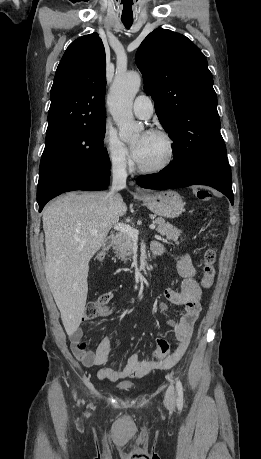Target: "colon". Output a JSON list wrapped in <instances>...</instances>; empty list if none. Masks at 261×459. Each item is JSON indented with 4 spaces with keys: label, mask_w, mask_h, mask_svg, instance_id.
<instances>
[{
    "label": "colon",
    "mask_w": 261,
    "mask_h": 459,
    "mask_svg": "<svg viewBox=\"0 0 261 459\" xmlns=\"http://www.w3.org/2000/svg\"><path fill=\"white\" fill-rule=\"evenodd\" d=\"M196 195L201 200H209L211 197L214 196V189L213 188H198ZM216 252L214 249L209 248L206 250L204 257H203V270H202V278H201V286L204 289H208L212 286L215 275H216ZM111 300V293H104L100 295L93 301H90L85 310V319H94L96 318L101 309L105 307L109 301Z\"/></svg>",
    "instance_id": "1"
}]
</instances>
